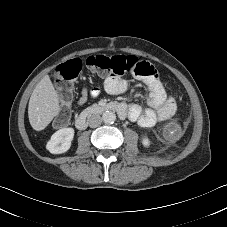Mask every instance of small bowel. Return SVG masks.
<instances>
[{"label":"small bowel","mask_w":227,"mask_h":227,"mask_svg":"<svg viewBox=\"0 0 227 227\" xmlns=\"http://www.w3.org/2000/svg\"><path fill=\"white\" fill-rule=\"evenodd\" d=\"M142 82L149 90L147 99L149 108L142 109L138 104H131L128 108V117L137 121L141 127L151 128L160 121H166L176 112V102L173 98H167L160 80L157 77H141ZM129 84L121 78H109L105 81L104 88L111 95H121L128 90ZM97 89H83L78 104H83L88 98H95Z\"/></svg>","instance_id":"small-bowel-1"}]
</instances>
